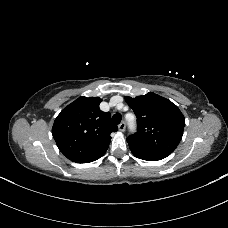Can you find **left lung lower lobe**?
<instances>
[{"mask_svg":"<svg viewBox=\"0 0 228 228\" xmlns=\"http://www.w3.org/2000/svg\"><path fill=\"white\" fill-rule=\"evenodd\" d=\"M132 154L140 159L147 161H157L166 158L169 154L157 151H147L130 147Z\"/></svg>","mask_w":228,"mask_h":228,"instance_id":"1","label":"left lung lower lobe"}]
</instances>
